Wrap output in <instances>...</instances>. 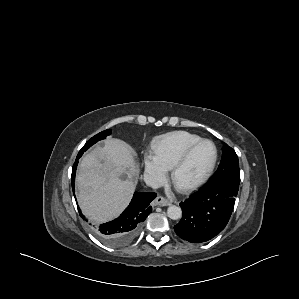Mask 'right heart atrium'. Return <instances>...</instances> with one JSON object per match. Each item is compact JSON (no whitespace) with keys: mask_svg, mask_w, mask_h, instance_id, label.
I'll return each instance as SVG.
<instances>
[{"mask_svg":"<svg viewBox=\"0 0 299 299\" xmlns=\"http://www.w3.org/2000/svg\"><path fill=\"white\" fill-rule=\"evenodd\" d=\"M145 176L152 185H159L166 179V170L152 155H147L144 160Z\"/></svg>","mask_w":299,"mask_h":299,"instance_id":"1","label":"right heart atrium"}]
</instances>
